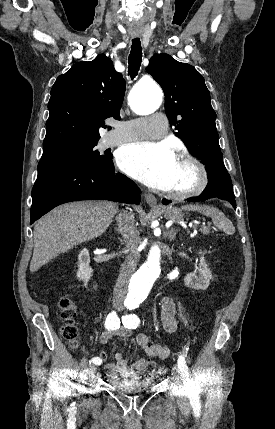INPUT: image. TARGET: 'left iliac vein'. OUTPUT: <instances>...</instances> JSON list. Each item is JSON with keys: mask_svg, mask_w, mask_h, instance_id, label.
<instances>
[{"mask_svg": "<svg viewBox=\"0 0 275 429\" xmlns=\"http://www.w3.org/2000/svg\"><path fill=\"white\" fill-rule=\"evenodd\" d=\"M173 373H174V376H175V377H177V371H176V370H174V372H173Z\"/></svg>", "mask_w": 275, "mask_h": 429, "instance_id": "left-iliac-vein-1", "label": "left iliac vein"}]
</instances>
